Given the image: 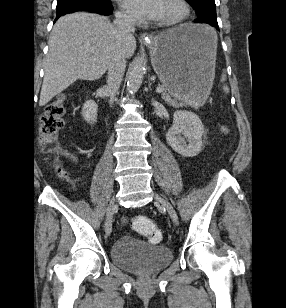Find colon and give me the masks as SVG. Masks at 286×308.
Masks as SVG:
<instances>
[{
    "label": "colon",
    "mask_w": 286,
    "mask_h": 308,
    "mask_svg": "<svg viewBox=\"0 0 286 308\" xmlns=\"http://www.w3.org/2000/svg\"><path fill=\"white\" fill-rule=\"evenodd\" d=\"M66 112V98L64 95H58L52 99L45 107L39 120V142L42 147L48 149L51 153H57L53 146L60 130L63 127V116ZM63 176L64 172L59 169ZM134 228L148 237L151 243H159L162 235L155 225L145 216L138 215L134 221Z\"/></svg>",
    "instance_id": "5ec220e1"
}]
</instances>
